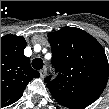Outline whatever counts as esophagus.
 <instances>
[{
  "label": "esophagus",
  "instance_id": "esophagus-1",
  "mask_svg": "<svg viewBox=\"0 0 109 109\" xmlns=\"http://www.w3.org/2000/svg\"><path fill=\"white\" fill-rule=\"evenodd\" d=\"M39 73H40V77H41V78H44V76L46 75V68H42V69L39 71Z\"/></svg>",
  "mask_w": 109,
  "mask_h": 109
}]
</instances>
